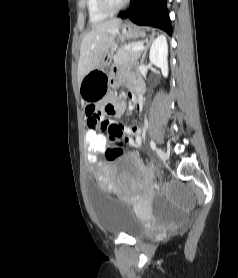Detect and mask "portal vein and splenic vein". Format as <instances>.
Masks as SVG:
<instances>
[{
    "instance_id": "1",
    "label": "portal vein and splenic vein",
    "mask_w": 238,
    "mask_h": 278,
    "mask_svg": "<svg viewBox=\"0 0 238 278\" xmlns=\"http://www.w3.org/2000/svg\"><path fill=\"white\" fill-rule=\"evenodd\" d=\"M144 46L143 44H137V45H134L131 50L132 51H140V50H143Z\"/></svg>"
}]
</instances>
